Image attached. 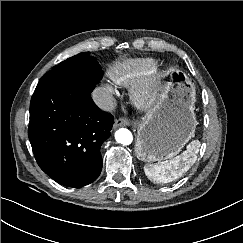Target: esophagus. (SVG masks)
Wrapping results in <instances>:
<instances>
[{
	"mask_svg": "<svg viewBox=\"0 0 243 243\" xmlns=\"http://www.w3.org/2000/svg\"><path fill=\"white\" fill-rule=\"evenodd\" d=\"M131 120L127 118H119L115 121L114 127H123V126H129L131 124Z\"/></svg>",
	"mask_w": 243,
	"mask_h": 243,
	"instance_id": "1",
	"label": "esophagus"
}]
</instances>
